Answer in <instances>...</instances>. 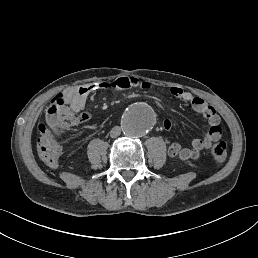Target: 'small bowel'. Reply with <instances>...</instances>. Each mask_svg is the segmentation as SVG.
<instances>
[{"label": "small bowel", "mask_w": 258, "mask_h": 258, "mask_svg": "<svg viewBox=\"0 0 258 258\" xmlns=\"http://www.w3.org/2000/svg\"><path fill=\"white\" fill-rule=\"evenodd\" d=\"M129 88L148 90L151 86L148 82L141 81L135 77H120L110 83H91L68 89L52 99L46 117L47 123L59 135L58 116L62 110L82 111L85 107L87 97L99 90H124ZM170 94L177 99L190 103L192 109L196 113L201 114L209 124V129L203 133L202 137L194 139L190 147H183L179 143H173L168 147V155L172 158H178L180 160L196 159L202 150L209 149L213 142L221 138L220 116L214 107L206 103L201 97L194 96L189 91L179 87H172L170 88ZM82 115L85 118L84 122L90 120L88 113H82ZM163 127L169 131L172 128L171 121L168 119L164 120ZM45 164L51 168L56 167V165Z\"/></svg>", "instance_id": "c3829d8e"}]
</instances>
